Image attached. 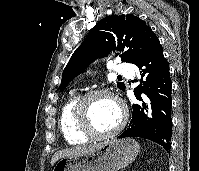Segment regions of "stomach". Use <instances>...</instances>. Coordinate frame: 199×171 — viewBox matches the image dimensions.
<instances>
[{
    "instance_id": "1",
    "label": "stomach",
    "mask_w": 199,
    "mask_h": 171,
    "mask_svg": "<svg viewBox=\"0 0 199 171\" xmlns=\"http://www.w3.org/2000/svg\"><path fill=\"white\" fill-rule=\"evenodd\" d=\"M138 153L139 144L133 139H108L83 155L60 159L53 171H118Z\"/></svg>"
}]
</instances>
